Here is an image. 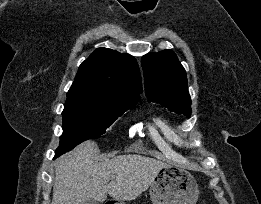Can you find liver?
<instances>
[{"label": "liver", "instance_id": "1", "mask_svg": "<svg viewBox=\"0 0 261 204\" xmlns=\"http://www.w3.org/2000/svg\"><path fill=\"white\" fill-rule=\"evenodd\" d=\"M98 154L97 144L85 141L57 159L51 204H83L88 199L103 202L107 195L130 201L146 191L158 171L167 166L139 154L102 161Z\"/></svg>", "mask_w": 261, "mask_h": 204}]
</instances>
